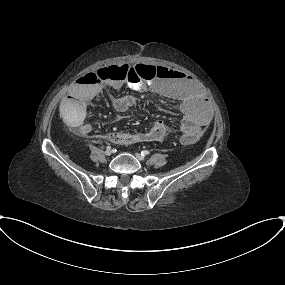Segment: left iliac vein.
I'll list each match as a JSON object with an SVG mask.
<instances>
[{"label":"left iliac vein","mask_w":285,"mask_h":285,"mask_svg":"<svg viewBox=\"0 0 285 285\" xmlns=\"http://www.w3.org/2000/svg\"><path fill=\"white\" fill-rule=\"evenodd\" d=\"M135 157L140 160V161H144L145 158L140 154V153H135Z\"/></svg>","instance_id":"left-iliac-vein-1"}]
</instances>
